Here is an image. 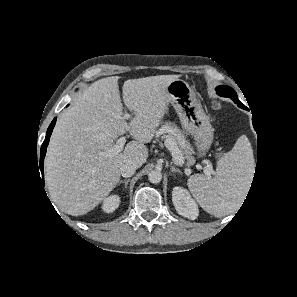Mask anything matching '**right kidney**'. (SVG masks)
Here are the masks:
<instances>
[{
	"label": "right kidney",
	"mask_w": 297,
	"mask_h": 297,
	"mask_svg": "<svg viewBox=\"0 0 297 297\" xmlns=\"http://www.w3.org/2000/svg\"><path fill=\"white\" fill-rule=\"evenodd\" d=\"M120 204V197L118 194H113L103 201L102 209L106 213L114 212Z\"/></svg>",
	"instance_id": "ca27d5eb"
}]
</instances>
